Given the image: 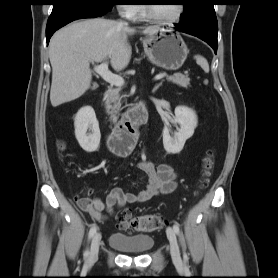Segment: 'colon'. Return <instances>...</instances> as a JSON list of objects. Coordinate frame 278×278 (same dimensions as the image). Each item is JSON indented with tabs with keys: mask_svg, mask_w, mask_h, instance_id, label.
Returning a JSON list of instances; mask_svg holds the SVG:
<instances>
[{
	"mask_svg": "<svg viewBox=\"0 0 278 278\" xmlns=\"http://www.w3.org/2000/svg\"><path fill=\"white\" fill-rule=\"evenodd\" d=\"M59 148L63 149V142H59ZM213 164V153L207 152L203 159L202 174L206 180L210 174ZM164 225V220L156 214L133 215L129 211H125L118 220V227L123 230H131L136 232H151L161 228Z\"/></svg>",
	"mask_w": 278,
	"mask_h": 278,
	"instance_id": "1",
	"label": "colon"
}]
</instances>
